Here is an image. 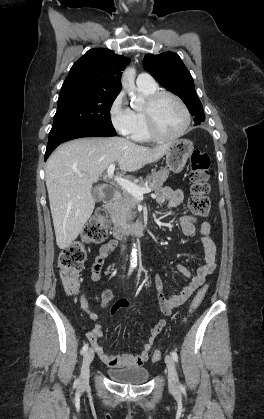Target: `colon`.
<instances>
[{
	"label": "colon",
	"instance_id": "5ec220e1",
	"mask_svg": "<svg viewBox=\"0 0 264 419\" xmlns=\"http://www.w3.org/2000/svg\"><path fill=\"white\" fill-rule=\"evenodd\" d=\"M191 182V197L189 200L190 210L200 216L208 213L210 208L207 194L210 186L209 166L210 160L206 153L200 150H194L189 159ZM108 220L106 214L102 211L96 212L85 225L81 241H74L64 248L58 258L60 278L64 290L68 294H77L80 291L79 272L83 268L86 260V250L84 243H100L106 237L108 231ZM207 287H202L195 295L190 311L196 310L203 301ZM161 358V352L156 350L152 355V360L158 361Z\"/></svg>",
	"mask_w": 264,
	"mask_h": 419
}]
</instances>
